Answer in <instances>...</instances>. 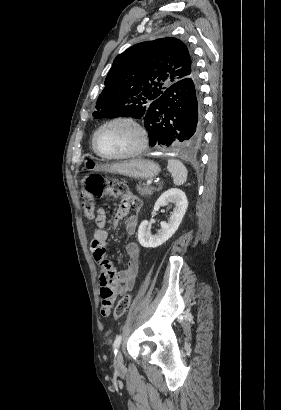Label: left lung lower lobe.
Returning a JSON list of instances; mask_svg holds the SVG:
<instances>
[{
	"instance_id": "0a47b994",
	"label": "left lung lower lobe",
	"mask_w": 281,
	"mask_h": 410,
	"mask_svg": "<svg viewBox=\"0 0 281 410\" xmlns=\"http://www.w3.org/2000/svg\"><path fill=\"white\" fill-rule=\"evenodd\" d=\"M142 120L150 146L174 142L184 149L198 147L203 138V111L197 74L169 86L150 104Z\"/></svg>"
}]
</instances>
